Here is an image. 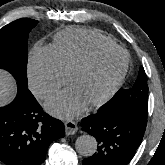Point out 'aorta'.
<instances>
[{
  "label": "aorta",
  "mask_w": 165,
  "mask_h": 165,
  "mask_svg": "<svg viewBox=\"0 0 165 165\" xmlns=\"http://www.w3.org/2000/svg\"><path fill=\"white\" fill-rule=\"evenodd\" d=\"M76 151L82 156H92L97 149V141L91 135H81L75 142Z\"/></svg>",
  "instance_id": "obj_1"
}]
</instances>
